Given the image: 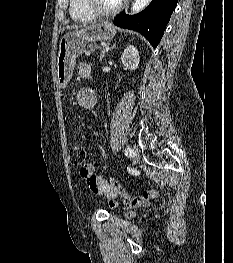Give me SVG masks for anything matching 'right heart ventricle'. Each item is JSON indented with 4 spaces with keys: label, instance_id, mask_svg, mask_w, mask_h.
I'll return each instance as SVG.
<instances>
[{
    "label": "right heart ventricle",
    "instance_id": "e07e8e85",
    "mask_svg": "<svg viewBox=\"0 0 233 263\" xmlns=\"http://www.w3.org/2000/svg\"><path fill=\"white\" fill-rule=\"evenodd\" d=\"M70 14L74 20L90 21L95 15L87 8L85 0H70Z\"/></svg>",
    "mask_w": 233,
    "mask_h": 263
}]
</instances>
